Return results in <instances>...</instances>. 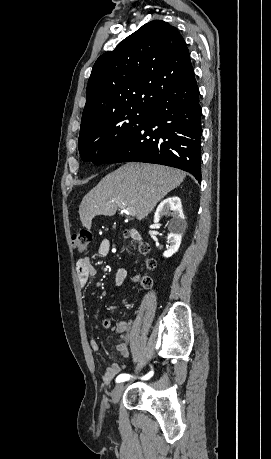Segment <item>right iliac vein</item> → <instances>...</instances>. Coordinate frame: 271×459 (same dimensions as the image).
<instances>
[{"instance_id": "1", "label": "right iliac vein", "mask_w": 271, "mask_h": 459, "mask_svg": "<svg viewBox=\"0 0 271 459\" xmlns=\"http://www.w3.org/2000/svg\"><path fill=\"white\" fill-rule=\"evenodd\" d=\"M123 390H124V384H122V383L116 385V387L114 388V390L112 392V402L114 404H116L119 401Z\"/></svg>"}]
</instances>
